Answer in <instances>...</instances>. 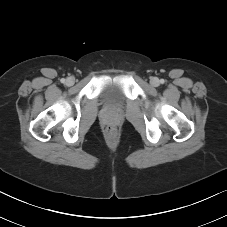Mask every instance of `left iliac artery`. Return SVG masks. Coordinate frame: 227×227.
<instances>
[{
  "label": "left iliac artery",
  "mask_w": 227,
  "mask_h": 227,
  "mask_svg": "<svg viewBox=\"0 0 227 227\" xmlns=\"http://www.w3.org/2000/svg\"><path fill=\"white\" fill-rule=\"evenodd\" d=\"M160 83H162V84H163V83H164V80H163V79H161V80H160Z\"/></svg>",
  "instance_id": "1"
}]
</instances>
